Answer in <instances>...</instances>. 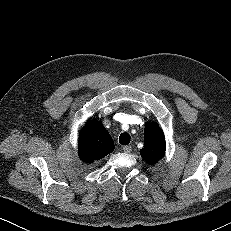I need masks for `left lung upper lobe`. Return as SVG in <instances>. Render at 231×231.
Listing matches in <instances>:
<instances>
[{
    "label": "left lung upper lobe",
    "mask_w": 231,
    "mask_h": 231,
    "mask_svg": "<svg viewBox=\"0 0 231 231\" xmlns=\"http://www.w3.org/2000/svg\"><path fill=\"white\" fill-rule=\"evenodd\" d=\"M142 158L150 165L156 164L165 155V137L162 129L148 123L144 130V148L140 150Z\"/></svg>",
    "instance_id": "1"
}]
</instances>
